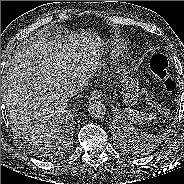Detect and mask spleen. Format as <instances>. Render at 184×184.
<instances>
[{"label":"spleen","mask_w":184,"mask_h":184,"mask_svg":"<svg viewBox=\"0 0 184 184\" xmlns=\"http://www.w3.org/2000/svg\"><path fill=\"white\" fill-rule=\"evenodd\" d=\"M133 115V121L135 122H141L143 119H146L145 115L136 111H132Z\"/></svg>","instance_id":"1"}]
</instances>
